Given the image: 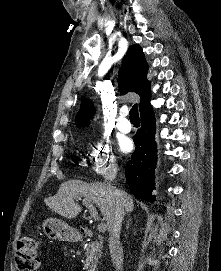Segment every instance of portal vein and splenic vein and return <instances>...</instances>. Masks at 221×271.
Segmentation results:
<instances>
[{"label":"portal vein and splenic vein","mask_w":221,"mask_h":271,"mask_svg":"<svg viewBox=\"0 0 221 271\" xmlns=\"http://www.w3.org/2000/svg\"><path fill=\"white\" fill-rule=\"evenodd\" d=\"M98 229H99V232L102 234L106 229L105 223H99Z\"/></svg>","instance_id":"18ae733b"}]
</instances>
